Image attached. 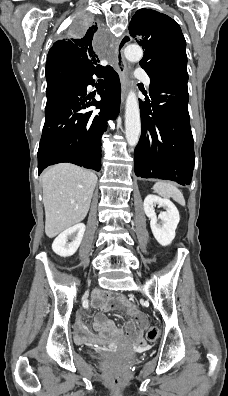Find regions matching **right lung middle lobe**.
I'll list each match as a JSON object with an SVG mask.
<instances>
[{
  "label": "right lung middle lobe",
  "mask_w": 228,
  "mask_h": 396,
  "mask_svg": "<svg viewBox=\"0 0 228 396\" xmlns=\"http://www.w3.org/2000/svg\"><path fill=\"white\" fill-rule=\"evenodd\" d=\"M89 23H90L89 19L85 16L77 18L73 24L72 33L73 34L82 33L87 28ZM73 74L74 73L69 70L53 71L46 73V79H47L46 95L47 96L52 95L53 92H55L59 87H61L67 81H69L73 76Z\"/></svg>",
  "instance_id": "right-lung-middle-lobe-1"
}]
</instances>
